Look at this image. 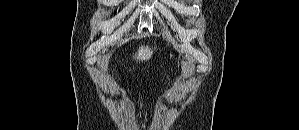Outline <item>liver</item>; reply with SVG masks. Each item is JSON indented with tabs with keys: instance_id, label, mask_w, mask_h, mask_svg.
<instances>
[{
	"instance_id": "1",
	"label": "liver",
	"mask_w": 299,
	"mask_h": 130,
	"mask_svg": "<svg viewBox=\"0 0 299 130\" xmlns=\"http://www.w3.org/2000/svg\"><path fill=\"white\" fill-rule=\"evenodd\" d=\"M153 55V50L149 46H141L135 54L136 61H148Z\"/></svg>"
}]
</instances>
